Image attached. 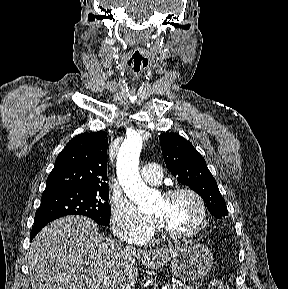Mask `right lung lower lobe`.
Returning a JSON list of instances; mask_svg holds the SVG:
<instances>
[{
	"label": "right lung lower lobe",
	"instance_id": "98d812e1",
	"mask_svg": "<svg viewBox=\"0 0 288 289\" xmlns=\"http://www.w3.org/2000/svg\"><path fill=\"white\" fill-rule=\"evenodd\" d=\"M47 224H48V222H42V223L34 224L32 230H31V233H30V240L32 241V239L35 237V235Z\"/></svg>",
	"mask_w": 288,
	"mask_h": 289
}]
</instances>
